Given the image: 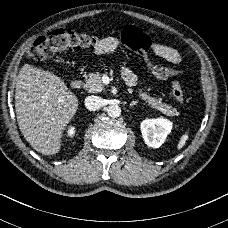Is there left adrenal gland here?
Listing matches in <instances>:
<instances>
[{
	"instance_id": "1",
	"label": "left adrenal gland",
	"mask_w": 228,
	"mask_h": 228,
	"mask_svg": "<svg viewBox=\"0 0 228 228\" xmlns=\"http://www.w3.org/2000/svg\"><path fill=\"white\" fill-rule=\"evenodd\" d=\"M137 103H138V101H132V102L130 103V106L136 105Z\"/></svg>"
}]
</instances>
